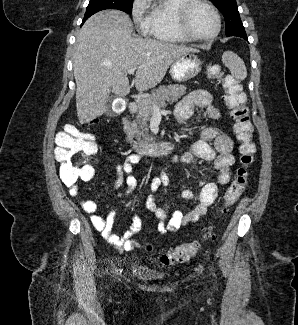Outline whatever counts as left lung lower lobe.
Wrapping results in <instances>:
<instances>
[{
	"label": "left lung lower lobe",
	"instance_id": "0a47b994",
	"mask_svg": "<svg viewBox=\"0 0 298 325\" xmlns=\"http://www.w3.org/2000/svg\"><path fill=\"white\" fill-rule=\"evenodd\" d=\"M235 36H238V37H241V38L247 40V35L245 32H240V33L236 34Z\"/></svg>",
	"mask_w": 298,
	"mask_h": 325
}]
</instances>
